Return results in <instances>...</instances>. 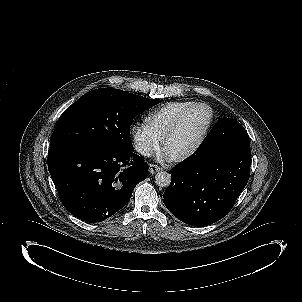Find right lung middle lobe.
<instances>
[{"label": "right lung middle lobe", "mask_w": 302, "mask_h": 302, "mask_svg": "<svg viewBox=\"0 0 302 302\" xmlns=\"http://www.w3.org/2000/svg\"><path fill=\"white\" fill-rule=\"evenodd\" d=\"M141 97L109 88L86 93L60 116L50 139L51 146L99 141L132 150V119L159 103Z\"/></svg>", "instance_id": "1"}]
</instances>
